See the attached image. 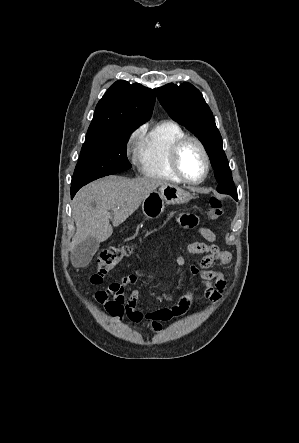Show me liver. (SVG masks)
<instances>
[{"label": "liver", "mask_w": 299, "mask_h": 443, "mask_svg": "<svg viewBox=\"0 0 299 443\" xmlns=\"http://www.w3.org/2000/svg\"><path fill=\"white\" fill-rule=\"evenodd\" d=\"M166 184L160 179H128L114 175L83 187L73 201L76 233L72 238L71 252L88 237L99 243L107 240L113 233L110 219L114 226L120 225L151 192Z\"/></svg>", "instance_id": "1"}]
</instances>
